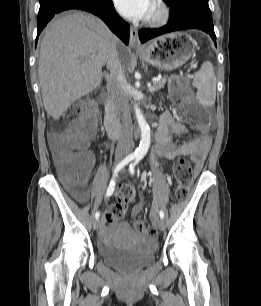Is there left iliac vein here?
<instances>
[{
	"mask_svg": "<svg viewBox=\"0 0 261 306\" xmlns=\"http://www.w3.org/2000/svg\"><path fill=\"white\" fill-rule=\"evenodd\" d=\"M155 225L157 226L158 229L164 230L165 229V223L163 219H156L155 220Z\"/></svg>",
	"mask_w": 261,
	"mask_h": 306,
	"instance_id": "1",
	"label": "left iliac vein"
}]
</instances>
